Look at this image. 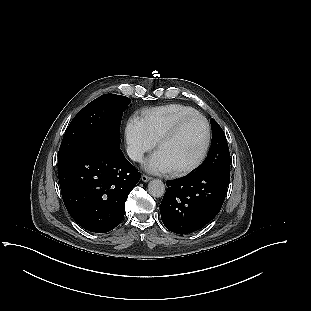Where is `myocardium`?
Returning <instances> with one entry per match:
<instances>
[{
	"mask_svg": "<svg viewBox=\"0 0 311 311\" xmlns=\"http://www.w3.org/2000/svg\"><path fill=\"white\" fill-rule=\"evenodd\" d=\"M194 119L202 120V122L204 123V126H205V142H204L203 148H202L199 156L191 164H189L185 167L179 168V169L171 170V174L174 176H182V175H186V174L194 171L196 168H198L202 164V162L206 158V155L208 153V150H209V147L211 144V128H210V124H209L208 120L206 119L205 116H203L199 113L184 116V117L180 118L179 120H177L163 134H161L160 137L158 138V140L156 141V148L158 149L162 143L173 139L179 133V131L182 129V127L186 123H188L189 121L194 120Z\"/></svg>",
	"mask_w": 311,
	"mask_h": 311,
	"instance_id": "obj_1",
	"label": "myocardium"
}]
</instances>
